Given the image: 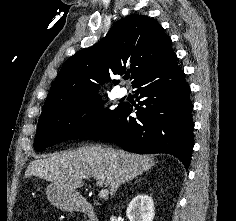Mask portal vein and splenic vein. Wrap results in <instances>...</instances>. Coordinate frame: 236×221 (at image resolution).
<instances>
[{"label":"portal vein and splenic vein","mask_w":236,"mask_h":221,"mask_svg":"<svg viewBox=\"0 0 236 221\" xmlns=\"http://www.w3.org/2000/svg\"><path fill=\"white\" fill-rule=\"evenodd\" d=\"M108 196V189H102L100 192H99V197L100 198H105Z\"/></svg>","instance_id":"1"}]
</instances>
